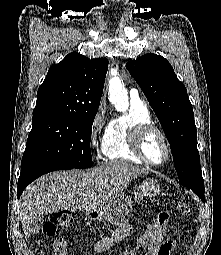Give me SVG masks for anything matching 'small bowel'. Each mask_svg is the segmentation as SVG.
I'll list each match as a JSON object with an SVG mask.
<instances>
[{"instance_id":"small-bowel-1","label":"small bowel","mask_w":221,"mask_h":255,"mask_svg":"<svg viewBox=\"0 0 221 255\" xmlns=\"http://www.w3.org/2000/svg\"><path fill=\"white\" fill-rule=\"evenodd\" d=\"M134 227L131 224L119 227L115 232L98 240L93 246V252L97 254L110 250L117 242L131 236ZM175 240L165 238V229L155 234H148L147 231L139 237L136 245L131 250L121 255H136L138 251L147 249L145 255H171L175 248Z\"/></svg>"}]
</instances>
